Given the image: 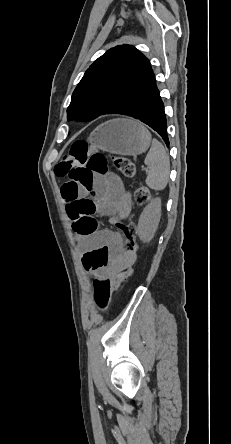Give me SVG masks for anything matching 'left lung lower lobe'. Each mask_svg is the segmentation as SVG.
Segmentation results:
<instances>
[{
    "label": "left lung lower lobe",
    "mask_w": 231,
    "mask_h": 444,
    "mask_svg": "<svg viewBox=\"0 0 231 444\" xmlns=\"http://www.w3.org/2000/svg\"><path fill=\"white\" fill-rule=\"evenodd\" d=\"M116 114L131 116L144 122L155 130L169 146L164 105L156 86L153 71L137 87L133 95L123 103Z\"/></svg>",
    "instance_id": "0a47b994"
}]
</instances>
